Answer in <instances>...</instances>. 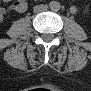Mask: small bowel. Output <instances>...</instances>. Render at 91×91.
<instances>
[{
  "instance_id": "c3829d8e",
  "label": "small bowel",
  "mask_w": 91,
  "mask_h": 91,
  "mask_svg": "<svg viewBox=\"0 0 91 91\" xmlns=\"http://www.w3.org/2000/svg\"><path fill=\"white\" fill-rule=\"evenodd\" d=\"M13 10L17 12H24L27 9V3L24 0H16L11 4ZM77 9L73 8L72 12H76Z\"/></svg>"
}]
</instances>
